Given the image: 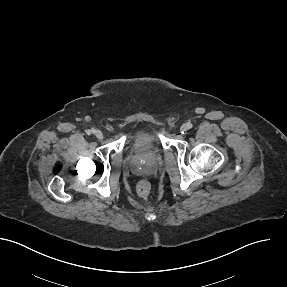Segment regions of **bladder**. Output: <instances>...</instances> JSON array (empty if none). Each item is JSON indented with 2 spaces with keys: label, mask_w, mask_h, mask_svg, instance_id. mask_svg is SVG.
<instances>
[{
  "label": "bladder",
  "mask_w": 287,
  "mask_h": 287,
  "mask_svg": "<svg viewBox=\"0 0 287 287\" xmlns=\"http://www.w3.org/2000/svg\"><path fill=\"white\" fill-rule=\"evenodd\" d=\"M158 138L150 130L141 129L134 133L128 142V150L132 153H145L157 146Z\"/></svg>",
  "instance_id": "obj_1"
}]
</instances>
